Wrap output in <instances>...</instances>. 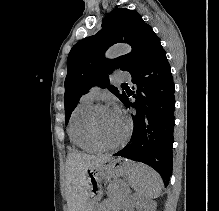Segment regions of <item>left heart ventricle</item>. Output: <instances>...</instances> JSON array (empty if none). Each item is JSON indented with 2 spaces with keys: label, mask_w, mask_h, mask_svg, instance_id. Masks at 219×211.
<instances>
[{
  "label": "left heart ventricle",
  "mask_w": 219,
  "mask_h": 211,
  "mask_svg": "<svg viewBox=\"0 0 219 211\" xmlns=\"http://www.w3.org/2000/svg\"><path fill=\"white\" fill-rule=\"evenodd\" d=\"M98 133L108 142H116L124 134L125 120H120L111 112L110 108H103L97 112L95 118Z\"/></svg>",
  "instance_id": "1"
}]
</instances>
